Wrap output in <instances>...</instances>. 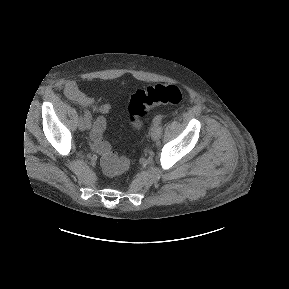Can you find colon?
<instances>
[{
    "label": "colon",
    "mask_w": 289,
    "mask_h": 289,
    "mask_svg": "<svg viewBox=\"0 0 289 289\" xmlns=\"http://www.w3.org/2000/svg\"><path fill=\"white\" fill-rule=\"evenodd\" d=\"M183 98L182 91L175 85L156 84L139 89L131 94L127 104V117L134 127H139L142 117L156 105H176ZM106 128V119L98 117L93 124V149L100 156V164L108 175H118L130 167L128 158L119 156L110 144L102 139Z\"/></svg>",
    "instance_id": "1"
}]
</instances>
